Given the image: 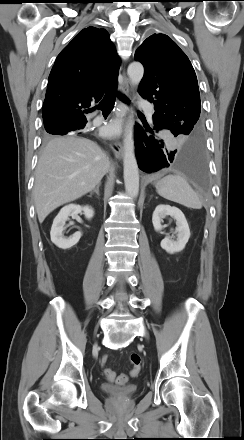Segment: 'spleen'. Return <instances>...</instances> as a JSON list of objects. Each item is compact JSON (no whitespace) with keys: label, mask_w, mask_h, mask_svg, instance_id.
Instances as JSON below:
<instances>
[{"label":"spleen","mask_w":244,"mask_h":440,"mask_svg":"<svg viewBox=\"0 0 244 440\" xmlns=\"http://www.w3.org/2000/svg\"><path fill=\"white\" fill-rule=\"evenodd\" d=\"M163 198L192 209H201L202 201L188 182L180 175H167L156 185Z\"/></svg>","instance_id":"3e777b00"}]
</instances>
